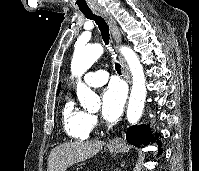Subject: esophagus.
<instances>
[{"label": "esophagus", "instance_id": "obj_1", "mask_svg": "<svg viewBox=\"0 0 199 171\" xmlns=\"http://www.w3.org/2000/svg\"><path fill=\"white\" fill-rule=\"evenodd\" d=\"M97 14H99L100 16H102L106 20V22L109 26L112 38L114 40V43L117 46H119L120 43H121V36H120L119 28H118L115 20L113 19V17L108 12H106L104 10L98 11ZM119 60H120V63H121L123 76L126 79V81L128 82V84L130 85L131 79H130L129 69H128L125 61H124V58L121 55H119ZM124 143H125L124 133L122 132L121 136L112 139L110 141L109 145L112 146V147H121V146L124 145Z\"/></svg>", "mask_w": 199, "mask_h": 171}]
</instances>
